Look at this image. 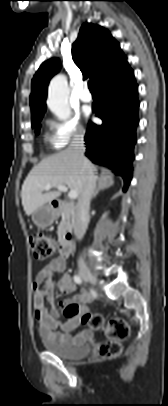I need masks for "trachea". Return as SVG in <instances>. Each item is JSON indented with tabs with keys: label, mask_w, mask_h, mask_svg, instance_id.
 <instances>
[{
	"label": "trachea",
	"mask_w": 168,
	"mask_h": 406,
	"mask_svg": "<svg viewBox=\"0 0 168 406\" xmlns=\"http://www.w3.org/2000/svg\"><path fill=\"white\" fill-rule=\"evenodd\" d=\"M88 87H89V90L91 92H96V89H95L94 84L92 83V81L88 82Z\"/></svg>",
	"instance_id": "obj_1"
}]
</instances>
